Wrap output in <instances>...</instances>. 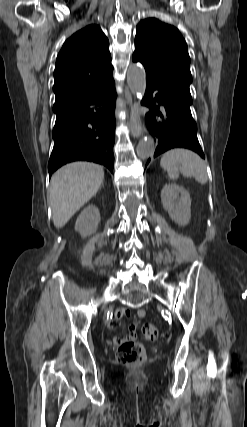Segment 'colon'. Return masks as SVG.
Instances as JSON below:
<instances>
[{"mask_svg":"<svg viewBox=\"0 0 247 427\" xmlns=\"http://www.w3.org/2000/svg\"><path fill=\"white\" fill-rule=\"evenodd\" d=\"M142 334L149 341H157L162 337L161 331L149 323L142 326ZM145 357L146 350L144 346L134 341L120 344L116 352L117 361L124 365H138L144 361Z\"/></svg>","mask_w":247,"mask_h":427,"instance_id":"obj_1","label":"colon"}]
</instances>
